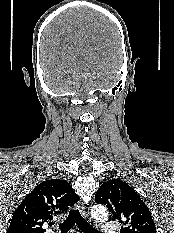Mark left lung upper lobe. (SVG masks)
<instances>
[{"instance_id": "5c2ea615", "label": "left lung upper lobe", "mask_w": 174, "mask_h": 233, "mask_svg": "<svg viewBox=\"0 0 174 233\" xmlns=\"http://www.w3.org/2000/svg\"><path fill=\"white\" fill-rule=\"evenodd\" d=\"M95 202L106 205L113 220L122 224L120 233H156L147 206L124 181L113 179L103 183L95 194Z\"/></svg>"}]
</instances>
